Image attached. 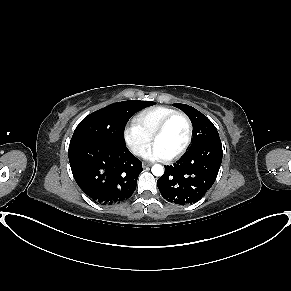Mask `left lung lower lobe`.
I'll return each instance as SVG.
<instances>
[{
    "mask_svg": "<svg viewBox=\"0 0 291 291\" xmlns=\"http://www.w3.org/2000/svg\"><path fill=\"white\" fill-rule=\"evenodd\" d=\"M220 138L192 147L158 179V189L167 201L185 205L201 199L214 184L222 161Z\"/></svg>",
    "mask_w": 291,
    "mask_h": 291,
    "instance_id": "0a47b994",
    "label": "left lung lower lobe"
}]
</instances>
